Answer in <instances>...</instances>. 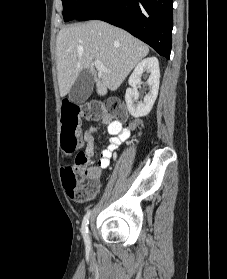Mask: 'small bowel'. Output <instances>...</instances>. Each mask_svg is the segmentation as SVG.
<instances>
[{
  "label": "small bowel",
  "mask_w": 227,
  "mask_h": 279,
  "mask_svg": "<svg viewBox=\"0 0 227 279\" xmlns=\"http://www.w3.org/2000/svg\"><path fill=\"white\" fill-rule=\"evenodd\" d=\"M102 123L107 127V133L110 135L109 144L106 149H104L100 153L97 164L91 165L86 171L87 177L93 180L97 187L99 185L98 179L101 175L102 170L106 169L109 166L113 153L120 147L123 142L128 139L130 135V130L124 127L122 124H118L117 129L114 128L115 122L110 114H106L102 118ZM97 131V128L92 127L83 136V140L86 144L85 153L88 157H92L94 155V134ZM64 170H66V167L63 169V171ZM96 192L93 195H95Z\"/></svg>",
  "instance_id": "1"
}]
</instances>
